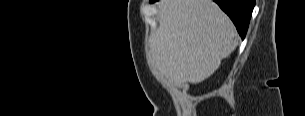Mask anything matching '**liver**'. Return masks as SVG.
<instances>
[{
	"label": "liver",
	"instance_id": "liver-1",
	"mask_svg": "<svg viewBox=\"0 0 305 116\" xmlns=\"http://www.w3.org/2000/svg\"><path fill=\"white\" fill-rule=\"evenodd\" d=\"M159 9L152 66L176 84L204 81L238 45L235 26L212 0H162Z\"/></svg>",
	"mask_w": 305,
	"mask_h": 116
}]
</instances>
